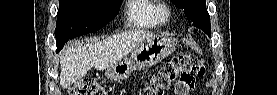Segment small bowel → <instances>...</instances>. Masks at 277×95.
<instances>
[{
    "label": "small bowel",
    "mask_w": 277,
    "mask_h": 95,
    "mask_svg": "<svg viewBox=\"0 0 277 95\" xmlns=\"http://www.w3.org/2000/svg\"><path fill=\"white\" fill-rule=\"evenodd\" d=\"M196 82L192 77L182 78L174 85V93L189 95L195 91Z\"/></svg>",
    "instance_id": "small-bowel-1"
}]
</instances>
